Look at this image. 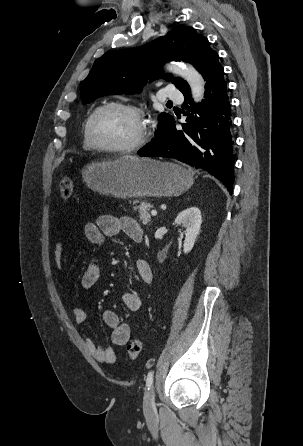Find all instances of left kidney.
I'll list each match as a JSON object with an SVG mask.
<instances>
[{"label": "left kidney", "instance_id": "5707ae66", "mask_svg": "<svg viewBox=\"0 0 303 446\" xmlns=\"http://www.w3.org/2000/svg\"><path fill=\"white\" fill-rule=\"evenodd\" d=\"M175 223L178 226H182L185 229L184 240V253H189L195 243L196 237L200 232L202 223L201 211L197 207H190L178 214L175 219Z\"/></svg>", "mask_w": 303, "mask_h": 446}]
</instances>
